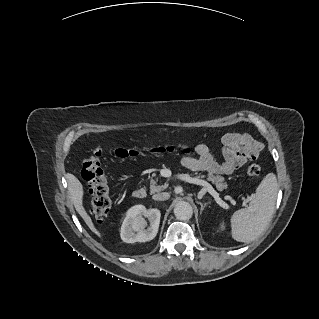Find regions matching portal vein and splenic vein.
<instances>
[{
    "mask_svg": "<svg viewBox=\"0 0 319 319\" xmlns=\"http://www.w3.org/2000/svg\"><path fill=\"white\" fill-rule=\"evenodd\" d=\"M180 179L189 183L203 186L204 190L209 192L213 196L217 204H219L223 208H228V205L219 197V193L216 192V190L208 182L197 177H190L187 175L180 176Z\"/></svg>",
    "mask_w": 319,
    "mask_h": 319,
    "instance_id": "1",
    "label": "portal vein and splenic vein"
}]
</instances>
